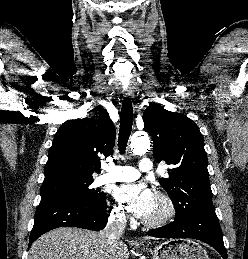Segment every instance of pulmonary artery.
<instances>
[{
    "instance_id": "1",
    "label": "pulmonary artery",
    "mask_w": 248,
    "mask_h": 259,
    "mask_svg": "<svg viewBox=\"0 0 248 259\" xmlns=\"http://www.w3.org/2000/svg\"><path fill=\"white\" fill-rule=\"evenodd\" d=\"M152 162L148 158L140 160L139 169L131 166L112 165L106 168V173L96 179L98 186L113 182H130L136 180L141 173L152 171Z\"/></svg>"
}]
</instances>
